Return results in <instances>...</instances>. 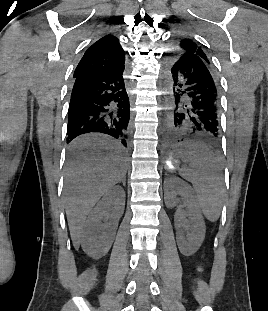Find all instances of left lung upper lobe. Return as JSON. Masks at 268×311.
<instances>
[{"label":"left lung upper lobe","instance_id":"5c2ea615","mask_svg":"<svg viewBox=\"0 0 268 311\" xmlns=\"http://www.w3.org/2000/svg\"><path fill=\"white\" fill-rule=\"evenodd\" d=\"M177 60L200 59L211 64L205 51L195 41L179 37L176 43V50L173 54ZM212 65V64H211Z\"/></svg>","mask_w":268,"mask_h":311}]
</instances>
